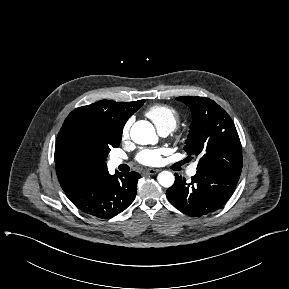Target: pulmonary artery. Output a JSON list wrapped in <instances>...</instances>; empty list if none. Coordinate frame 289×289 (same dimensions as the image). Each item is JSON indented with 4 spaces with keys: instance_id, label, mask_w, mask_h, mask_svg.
Returning <instances> with one entry per match:
<instances>
[{
    "instance_id": "obj_1",
    "label": "pulmonary artery",
    "mask_w": 289,
    "mask_h": 289,
    "mask_svg": "<svg viewBox=\"0 0 289 289\" xmlns=\"http://www.w3.org/2000/svg\"><path fill=\"white\" fill-rule=\"evenodd\" d=\"M168 133L169 132L163 131V132H161V135L166 136ZM122 162H123L122 159L116 158V157H114L110 160V164L113 167L120 165ZM196 172H197V165L196 164H192L187 170V174L189 176H194L196 174Z\"/></svg>"
}]
</instances>
